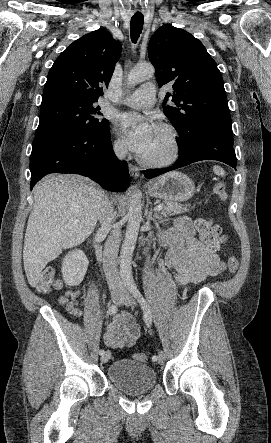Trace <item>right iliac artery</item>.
<instances>
[{
    "label": "right iliac artery",
    "mask_w": 271,
    "mask_h": 443,
    "mask_svg": "<svg viewBox=\"0 0 271 443\" xmlns=\"http://www.w3.org/2000/svg\"><path fill=\"white\" fill-rule=\"evenodd\" d=\"M117 311H118V308H117L116 305H111V306L109 307V309H108V313H109L111 316L115 315ZM104 353H105L104 349H100V350H99V354H100V355H103Z\"/></svg>",
    "instance_id": "82829eb1"
}]
</instances>
